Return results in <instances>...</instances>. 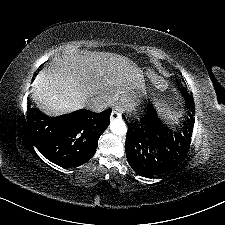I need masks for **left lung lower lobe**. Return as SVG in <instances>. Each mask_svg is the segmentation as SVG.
<instances>
[{
	"label": "left lung lower lobe",
	"mask_w": 225,
	"mask_h": 225,
	"mask_svg": "<svg viewBox=\"0 0 225 225\" xmlns=\"http://www.w3.org/2000/svg\"><path fill=\"white\" fill-rule=\"evenodd\" d=\"M187 108L193 109L190 96L184 94ZM190 115V114H189ZM145 130L136 128L137 123L128 124L125 150L128 163L141 176L152 177L174 169L185 157L192 134L193 116L190 115L184 136L175 133V137L162 127L153 107H148L147 115L142 119Z\"/></svg>",
	"instance_id": "0a47b994"
}]
</instances>
